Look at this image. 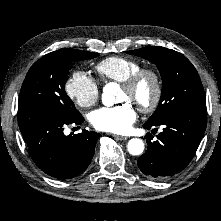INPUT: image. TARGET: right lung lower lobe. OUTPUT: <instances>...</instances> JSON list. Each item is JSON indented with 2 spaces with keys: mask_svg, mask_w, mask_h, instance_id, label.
I'll use <instances>...</instances> for the list:
<instances>
[{
  "mask_svg": "<svg viewBox=\"0 0 221 221\" xmlns=\"http://www.w3.org/2000/svg\"><path fill=\"white\" fill-rule=\"evenodd\" d=\"M80 115L64 117L50 109L28 107L18 110V123L35 164L47 175L57 179H71L80 175L90 164L100 134L83 131L64 134V127L79 125Z\"/></svg>",
  "mask_w": 221,
  "mask_h": 221,
  "instance_id": "98d812e1",
  "label": "right lung lower lobe"
}]
</instances>
